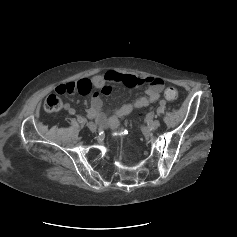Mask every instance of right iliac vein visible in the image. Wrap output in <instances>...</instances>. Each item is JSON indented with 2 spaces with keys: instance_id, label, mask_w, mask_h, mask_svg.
Segmentation results:
<instances>
[{
  "instance_id": "obj_1",
  "label": "right iliac vein",
  "mask_w": 237,
  "mask_h": 237,
  "mask_svg": "<svg viewBox=\"0 0 237 237\" xmlns=\"http://www.w3.org/2000/svg\"><path fill=\"white\" fill-rule=\"evenodd\" d=\"M87 126L90 129V131H92V132L96 131L97 126H96V124L94 122H89L87 124Z\"/></svg>"
}]
</instances>
